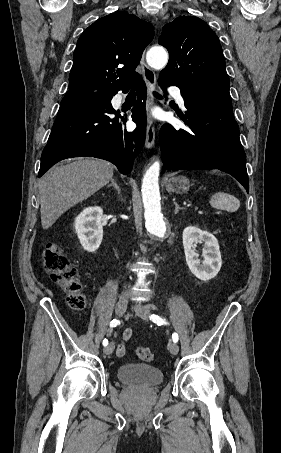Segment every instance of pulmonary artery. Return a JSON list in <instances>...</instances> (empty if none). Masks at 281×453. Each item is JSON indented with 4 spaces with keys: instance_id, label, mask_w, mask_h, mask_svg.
Masks as SVG:
<instances>
[{
    "instance_id": "e3ab8cb5",
    "label": "pulmonary artery",
    "mask_w": 281,
    "mask_h": 453,
    "mask_svg": "<svg viewBox=\"0 0 281 453\" xmlns=\"http://www.w3.org/2000/svg\"><path fill=\"white\" fill-rule=\"evenodd\" d=\"M172 96L175 98V100L178 102L179 105L183 106L184 105V100L181 95V91L179 89L173 90L171 92ZM123 101V95L121 93L116 94L113 99L112 103L113 105H120Z\"/></svg>"
}]
</instances>
